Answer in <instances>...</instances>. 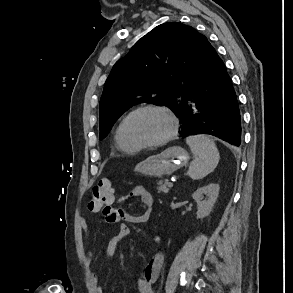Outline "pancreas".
<instances>
[{"label":"pancreas","mask_w":293,"mask_h":293,"mask_svg":"<svg viewBox=\"0 0 293 293\" xmlns=\"http://www.w3.org/2000/svg\"><path fill=\"white\" fill-rule=\"evenodd\" d=\"M157 190L158 192H162L164 194L168 193L169 191V182L168 180H160L158 183Z\"/></svg>","instance_id":"pancreas-1"}]
</instances>
